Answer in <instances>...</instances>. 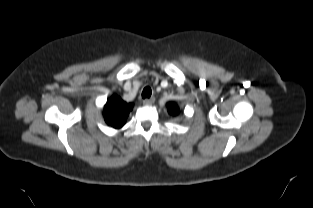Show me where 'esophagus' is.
<instances>
[{"mask_svg":"<svg viewBox=\"0 0 313 208\" xmlns=\"http://www.w3.org/2000/svg\"><path fill=\"white\" fill-rule=\"evenodd\" d=\"M154 102H155V98L154 97L143 100V104L144 105H152Z\"/></svg>","mask_w":313,"mask_h":208,"instance_id":"esophagus-1","label":"esophagus"}]
</instances>
